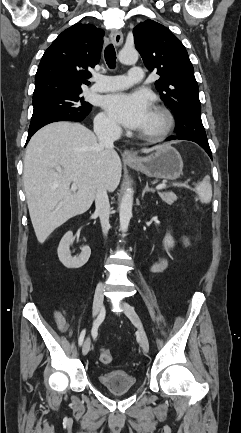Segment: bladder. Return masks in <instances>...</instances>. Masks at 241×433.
I'll return each mask as SVG.
<instances>
[{
  "label": "bladder",
  "instance_id": "bladder-1",
  "mask_svg": "<svg viewBox=\"0 0 241 433\" xmlns=\"http://www.w3.org/2000/svg\"><path fill=\"white\" fill-rule=\"evenodd\" d=\"M99 383L112 393L132 390L137 385L136 378L126 371H110L98 376Z\"/></svg>",
  "mask_w": 241,
  "mask_h": 433
}]
</instances>
